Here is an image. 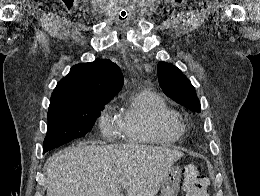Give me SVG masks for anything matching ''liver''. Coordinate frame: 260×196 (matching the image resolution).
Listing matches in <instances>:
<instances>
[{
  "label": "liver",
  "instance_id": "obj_1",
  "mask_svg": "<svg viewBox=\"0 0 260 196\" xmlns=\"http://www.w3.org/2000/svg\"><path fill=\"white\" fill-rule=\"evenodd\" d=\"M184 156L163 146L81 142L49 158L46 196H156L174 162Z\"/></svg>",
  "mask_w": 260,
  "mask_h": 196
}]
</instances>
